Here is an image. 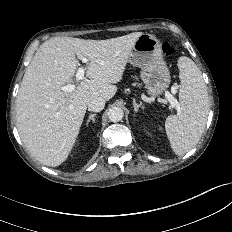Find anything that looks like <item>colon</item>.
<instances>
[{
    "mask_svg": "<svg viewBox=\"0 0 232 232\" xmlns=\"http://www.w3.org/2000/svg\"><path fill=\"white\" fill-rule=\"evenodd\" d=\"M162 51L166 57H171L175 52V48L170 43L164 42L162 44Z\"/></svg>",
    "mask_w": 232,
    "mask_h": 232,
    "instance_id": "obj_1",
    "label": "colon"
}]
</instances>
